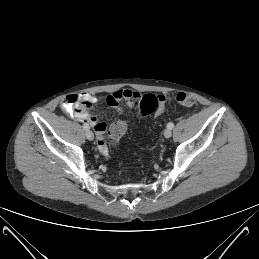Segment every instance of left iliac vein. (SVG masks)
<instances>
[{
	"label": "left iliac vein",
	"mask_w": 259,
	"mask_h": 259,
	"mask_svg": "<svg viewBox=\"0 0 259 259\" xmlns=\"http://www.w3.org/2000/svg\"><path fill=\"white\" fill-rule=\"evenodd\" d=\"M171 135H172L171 129L166 128V129L164 130V136H165V138H170Z\"/></svg>",
	"instance_id": "1"
}]
</instances>
